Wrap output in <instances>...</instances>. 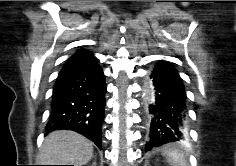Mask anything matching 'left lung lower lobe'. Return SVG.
<instances>
[{
    "label": "left lung lower lobe",
    "instance_id": "obj_1",
    "mask_svg": "<svg viewBox=\"0 0 236 166\" xmlns=\"http://www.w3.org/2000/svg\"><path fill=\"white\" fill-rule=\"evenodd\" d=\"M150 78L152 104L146 151L183 140L187 134V96L177 70L170 63L160 61Z\"/></svg>",
    "mask_w": 236,
    "mask_h": 166
}]
</instances>
